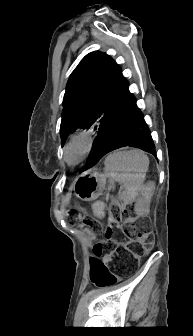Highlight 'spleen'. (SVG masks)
<instances>
[{"label": "spleen", "mask_w": 193, "mask_h": 336, "mask_svg": "<svg viewBox=\"0 0 193 336\" xmlns=\"http://www.w3.org/2000/svg\"><path fill=\"white\" fill-rule=\"evenodd\" d=\"M104 163L105 175L112 184L109 189L114 187V182L121 183L123 190L119 193V200L124 204L132 203L143 188L149 167L148 156L139 149L114 151L106 157ZM92 209L95 216L104 217L105 205L102 201L95 202Z\"/></svg>", "instance_id": "3e777b00"}]
</instances>
